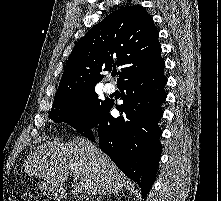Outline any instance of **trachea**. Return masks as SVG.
Wrapping results in <instances>:
<instances>
[{
  "mask_svg": "<svg viewBox=\"0 0 221 201\" xmlns=\"http://www.w3.org/2000/svg\"><path fill=\"white\" fill-rule=\"evenodd\" d=\"M117 74H113V76L115 77Z\"/></svg>",
  "mask_w": 221,
  "mask_h": 201,
  "instance_id": "1",
  "label": "trachea"
}]
</instances>
